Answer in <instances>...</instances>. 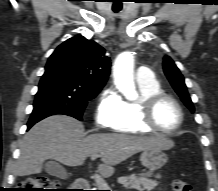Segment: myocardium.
<instances>
[{
	"mask_svg": "<svg viewBox=\"0 0 218 191\" xmlns=\"http://www.w3.org/2000/svg\"><path fill=\"white\" fill-rule=\"evenodd\" d=\"M162 100H169L172 102L179 112V123L178 125L173 129H162L160 128L154 117L156 106L159 102ZM140 110H141V120L143 124L150 130L154 132H158L165 135H171L176 132H178L184 123V110L180 102L174 98L173 96L166 94L164 92H157L150 94L148 96H145L140 101Z\"/></svg>",
	"mask_w": 218,
	"mask_h": 191,
	"instance_id": "f54148a6",
	"label": "myocardium"
}]
</instances>
